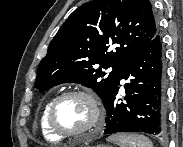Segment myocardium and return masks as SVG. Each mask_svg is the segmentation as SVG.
Segmentation results:
<instances>
[{
	"instance_id": "1",
	"label": "myocardium",
	"mask_w": 183,
	"mask_h": 147,
	"mask_svg": "<svg viewBox=\"0 0 183 147\" xmlns=\"http://www.w3.org/2000/svg\"><path fill=\"white\" fill-rule=\"evenodd\" d=\"M72 96H80L85 98L88 103L90 104V107L92 109V120L86 126L85 128L77 131H66L61 129L55 121V111L58 107V105L66 98L72 97ZM103 119V111L100 102L98 101L97 97L90 91L82 90V89H75L66 91L59 96H57L51 103L48 113H47V123L50 129L58 136L61 137H77L80 135H83L85 133H88L95 129L102 121Z\"/></svg>"
}]
</instances>
